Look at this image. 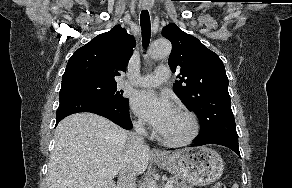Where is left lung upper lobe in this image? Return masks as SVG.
<instances>
[{"label": "left lung upper lobe", "instance_id": "left-lung-upper-lobe-1", "mask_svg": "<svg viewBox=\"0 0 292 188\" xmlns=\"http://www.w3.org/2000/svg\"><path fill=\"white\" fill-rule=\"evenodd\" d=\"M162 35L172 43L168 59L172 72L180 70L174 92L198 116L200 133L234 120L228 78L219 56L174 23L164 27Z\"/></svg>", "mask_w": 292, "mask_h": 188}]
</instances>
